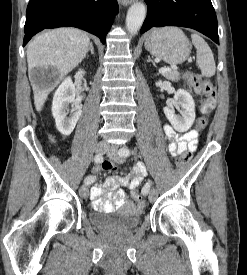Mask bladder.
Segmentation results:
<instances>
[{
  "mask_svg": "<svg viewBox=\"0 0 247 275\" xmlns=\"http://www.w3.org/2000/svg\"><path fill=\"white\" fill-rule=\"evenodd\" d=\"M140 214V209L132 214L97 210L91 212L88 219L92 225L102 229L130 232L138 226Z\"/></svg>",
  "mask_w": 247,
  "mask_h": 275,
  "instance_id": "obj_1",
  "label": "bladder"
}]
</instances>
